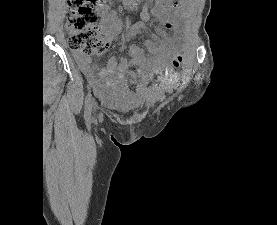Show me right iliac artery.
<instances>
[{"mask_svg":"<svg viewBox=\"0 0 277 225\" xmlns=\"http://www.w3.org/2000/svg\"><path fill=\"white\" fill-rule=\"evenodd\" d=\"M91 106H92V100H91V94H88L85 100V118L89 119L91 115Z\"/></svg>","mask_w":277,"mask_h":225,"instance_id":"82829eb1","label":"right iliac artery"}]
</instances>
